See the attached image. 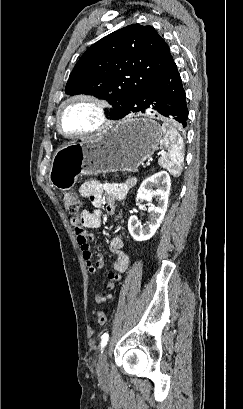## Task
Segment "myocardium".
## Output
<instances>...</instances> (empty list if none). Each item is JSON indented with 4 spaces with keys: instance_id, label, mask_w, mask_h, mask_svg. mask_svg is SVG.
<instances>
[{
    "instance_id": "myocardium-1",
    "label": "myocardium",
    "mask_w": 243,
    "mask_h": 409,
    "mask_svg": "<svg viewBox=\"0 0 243 409\" xmlns=\"http://www.w3.org/2000/svg\"><path fill=\"white\" fill-rule=\"evenodd\" d=\"M75 101H85V102L92 104L96 109L99 123L95 128L88 130L86 132L77 133V134H67L63 131L62 126H61V115H62L64 108L70 103L75 102ZM111 126H112V121L108 115L107 103L101 98L93 94H89V93H77V94H74L68 97L66 100H64L60 104L57 110V113H56L57 131L59 134H61L63 137L67 139H79V138L101 134L109 130Z\"/></svg>"
}]
</instances>
